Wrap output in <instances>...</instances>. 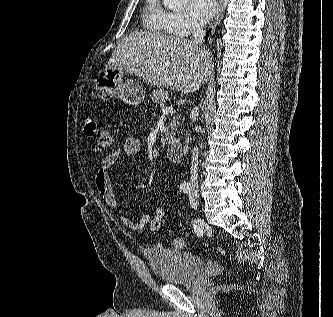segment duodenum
Wrapping results in <instances>:
<instances>
[{
	"instance_id": "1",
	"label": "duodenum",
	"mask_w": 333,
	"mask_h": 317,
	"mask_svg": "<svg viewBox=\"0 0 333 317\" xmlns=\"http://www.w3.org/2000/svg\"><path fill=\"white\" fill-rule=\"evenodd\" d=\"M167 157L171 162H180L183 157V143L180 139H172L166 149Z\"/></svg>"
}]
</instances>
